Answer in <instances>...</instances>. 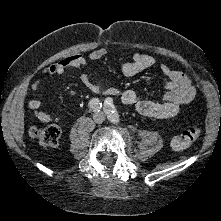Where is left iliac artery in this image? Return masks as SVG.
<instances>
[{
	"instance_id": "1",
	"label": "left iliac artery",
	"mask_w": 221,
	"mask_h": 221,
	"mask_svg": "<svg viewBox=\"0 0 221 221\" xmlns=\"http://www.w3.org/2000/svg\"><path fill=\"white\" fill-rule=\"evenodd\" d=\"M104 110L105 113L107 114L108 119L114 123L117 124L119 123V114L113 104V100L111 98H107L104 102Z\"/></svg>"
}]
</instances>
